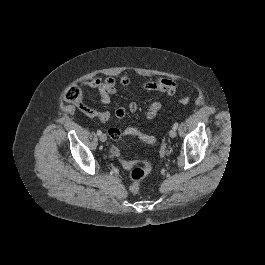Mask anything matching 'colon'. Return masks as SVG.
<instances>
[{"instance_id": "5ec220e1", "label": "colon", "mask_w": 265, "mask_h": 265, "mask_svg": "<svg viewBox=\"0 0 265 265\" xmlns=\"http://www.w3.org/2000/svg\"><path fill=\"white\" fill-rule=\"evenodd\" d=\"M63 98L70 103L76 104L80 107H83V94L79 87L77 86H69L63 93ZM181 104L187 105L189 103L188 98H182L179 100ZM109 135L112 139L117 140L120 139L124 135L136 136L142 142L152 144L156 142V137L146 135L140 132L136 128H128L124 132L120 130L111 129L109 131ZM113 153L116 156H119V150L117 148L112 149ZM123 167L130 169V191L133 194H139L142 191L141 182L142 180L151 172L152 166L149 161L141 160V161H127L121 160Z\"/></svg>"}]
</instances>
